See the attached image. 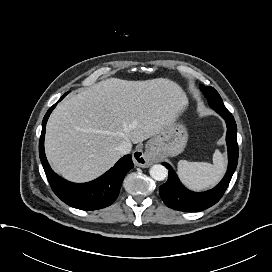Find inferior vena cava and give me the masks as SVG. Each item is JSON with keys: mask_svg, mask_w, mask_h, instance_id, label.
Instances as JSON below:
<instances>
[{"mask_svg": "<svg viewBox=\"0 0 272 272\" xmlns=\"http://www.w3.org/2000/svg\"><path fill=\"white\" fill-rule=\"evenodd\" d=\"M132 148V144L129 140L123 141L118 147L117 150L121 155L129 154Z\"/></svg>", "mask_w": 272, "mask_h": 272, "instance_id": "obj_1", "label": "inferior vena cava"}]
</instances>
